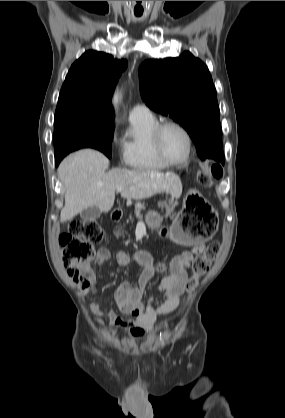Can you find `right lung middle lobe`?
<instances>
[{"label": "right lung middle lobe", "mask_w": 285, "mask_h": 418, "mask_svg": "<svg viewBox=\"0 0 285 418\" xmlns=\"http://www.w3.org/2000/svg\"><path fill=\"white\" fill-rule=\"evenodd\" d=\"M114 117L107 113L77 108H56L54 117L55 159L81 148H95L111 158Z\"/></svg>", "instance_id": "1"}]
</instances>
